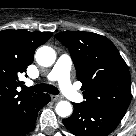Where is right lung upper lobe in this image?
<instances>
[{
  "mask_svg": "<svg viewBox=\"0 0 136 136\" xmlns=\"http://www.w3.org/2000/svg\"><path fill=\"white\" fill-rule=\"evenodd\" d=\"M52 36L51 32L26 30L0 31V127L24 113L40 93L18 92V75L33 62L36 48Z\"/></svg>",
  "mask_w": 136,
  "mask_h": 136,
  "instance_id": "right-lung-upper-lobe-1",
  "label": "right lung upper lobe"
}]
</instances>
